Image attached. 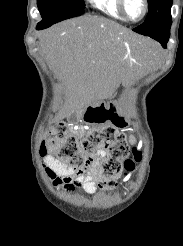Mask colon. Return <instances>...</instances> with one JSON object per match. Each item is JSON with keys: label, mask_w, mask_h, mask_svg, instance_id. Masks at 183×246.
Returning <instances> with one entry per match:
<instances>
[{"label": "colon", "mask_w": 183, "mask_h": 246, "mask_svg": "<svg viewBox=\"0 0 183 246\" xmlns=\"http://www.w3.org/2000/svg\"><path fill=\"white\" fill-rule=\"evenodd\" d=\"M88 117L90 122L112 124L92 128L79 139L64 123H56L45 132L40 151L43 156H55L62 164L83 170L90 163L93 151L106 149L107 156L99 169L98 186L102 190L111 191L117 186L118 176L131 171L134 166V160L129 157L127 137L118 130L123 120L105 107L93 108L88 112ZM134 156L137 160L140 153L134 152Z\"/></svg>", "instance_id": "colon-1"}]
</instances>
